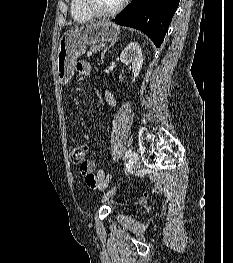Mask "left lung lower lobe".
Wrapping results in <instances>:
<instances>
[{
    "label": "left lung lower lobe",
    "instance_id": "1",
    "mask_svg": "<svg viewBox=\"0 0 233 263\" xmlns=\"http://www.w3.org/2000/svg\"><path fill=\"white\" fill-rule=\"evenodd\" d=\"M178 5L179 0H134L114 22L143 31L160 47Z\"/></svg>",
    "mask_w": 233,
    "mask_h": 263
}]
</instances>
